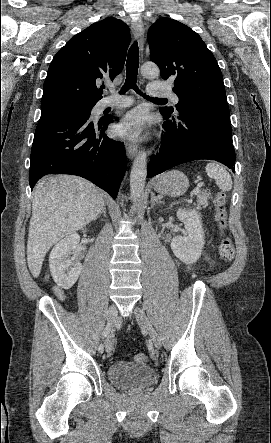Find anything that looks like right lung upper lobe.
I'll use <instances>...</instances> for the list:
<instances>
[{"mask_svg": "<svg viewBox=\"0 0 271 443\" xmlns=\"http://www.w3.org/2000/svg\"><path fill=\"white\" fill-rule=\"evenodd\" d=\"M130 38L129 27L116 18L94 23L73 36L49 66L42 103H96L105 87H99V82L113 81L122 71Z\"/></svg>", "mask_w": 271, "mask_h": 443, "instance_id": "1", "label": "right lung upper lobe"}]
</instances>
